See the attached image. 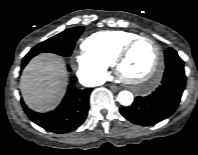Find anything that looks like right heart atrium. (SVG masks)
<instances>
[{"label":"right heart atrium","mask_w":198,"mask_h":155,"mask_svg":"<svg viewBox=\"0 0 198 155\" xmlns=\"http://www.w3.org/2000/svg\"><path fill=\"white\" fill-rule=\"evenodd\" d=\"M73 60L77 74L82 79L89 82H98L105 78L108 65L86 51L74 54Z\"/></svg>","instance_id":"1"}]
</instances>
